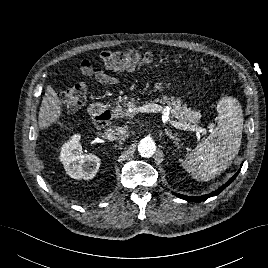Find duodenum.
Returning a JSON list of instances; mask_svg holds the SVG:
<instances>
[{"mask_svg": "<svg viewBox=\"0 0 268 268\" xmlns=\"http://www.w3.org/2000/svg\"><path fill=\"white\" fill-rule=\"evenodd\" d=\"M91 112L99 125L107 126L112 121L110 109L102 102L92 104Z\"/></svg>", "mask_w": 268, "mask_h": 268, "instance_id": "duodenum-1", "label": "duodenum"}]
</instances>
